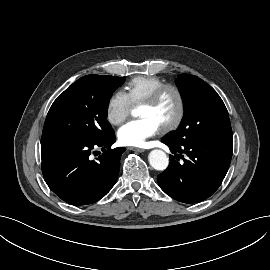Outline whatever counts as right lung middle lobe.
I'll return each mask as SVG.
<instances>
[{
    "label": "right lung middle lobe",
    "mask_w": 270,
    "mask_h": 270,
    "mask_svg": "<svg viewBox=\"0 0 270 270\" xmlns=\"http://www.w3.org/2000/svg\"><path fill=\"white\" fill-rule=\"evenodd\" d=\"M124 77L87 75L69 86L53 102L42 138L98 142L113 132L106 120L112 93Z\"/></svg>",
    "instance_id": "obj_1"
}]
</instances>
